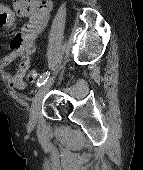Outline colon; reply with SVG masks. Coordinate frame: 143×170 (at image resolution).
Wrapping results in <instances>:
<instances>
[{"label":"colon","mask_w":143,"mask_h":170,"mask_svg":"<svg viewBox=\"0 0 143 170\" xmlns=\"http://www.w3.org/2000/svg\"><path fill=\"white\" fill-rule=\"evenodd\" d=\"M38 79V71L37 70H31L27 76V81L29 83H35Z\"/></svg>","instance_id":"obj_1"}]
</instances>
